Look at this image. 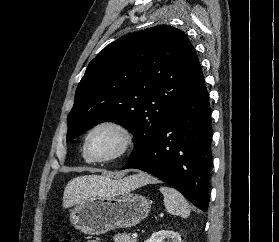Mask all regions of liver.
Returning <instances> with one entry per match:
<instances>
[{
	"label": "liver",
	"mask_w": 279,
	"mask_h": 242,
	"mask_svg": "<svg viewBox=\"0 0 279 242\" xmlns=\"http://www.w3.org/2000/svg\"><path fill=\"white\" fill-rule=\"evenodd\" d=\"M155 179L146 174L127 177L121 181H113L109 176L85 175L73 178L65 187L63 194V207L68 208L84 199L103 196L116 189L133 190Z\"/></svg>",
	"instance_id": "1"
}]
</instances>
